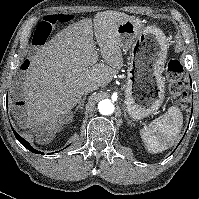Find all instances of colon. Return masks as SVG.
<instances>
[{"instance_id":"1","label":"colon","mask_w":199,"mask_h":199,"mask_svg":"<svg viewBox=\"0 0 199 199\" xmlns=\"http://www.w3.org/2000/svg\"><path fill=\"white\" fill-rule=\"evenodd\" d=\"M68 20L69 16L64 14H51L45 16L35 31V43H44L56 24L59 22H66ZM166 70L168 78V91L176 104L184 106L186 104V96L180 82V78L184 70L181 62L175 58L170 59L167 63Z\"/></svg>"}]
</instances>
